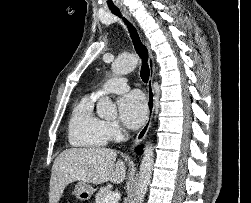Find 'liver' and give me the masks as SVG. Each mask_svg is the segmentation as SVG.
<instances>
[{
  "label": "liver",
  "mask_w": 251,
  "mask_h": 203,
  "mask_svg": "<svg viewBox=\"0 0 251 203\" xmlns=\"http://www.w3.org/2000/svg\"><path fill=\"white\" fill-rule=\"evenodd\" d=\"M109 148L66 149L55 159L50 179L49 203H58L66 186L75 181L120 184L126 176L125 164Z\"/></svg>",
  "instance_id": "liver-1"
}]
</instances>
